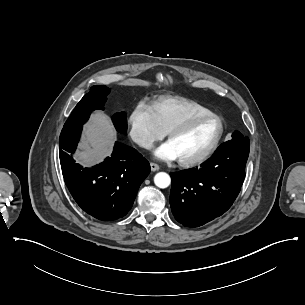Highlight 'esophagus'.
Returning <instances> with one entry per match:
<instances>
[{
    "instance_id": "34e87169",
    "label": "esophagus",
    "mask_w": 305,
    "mask_h": 305,
    "mask_svg": "<svg viewBox=\"0 0 305 305\" xmlns=\"http://www.w3.org/2000/svg\"><path fill=\"white\" fill-rule=\"evenodd\" d=\"M150 166H151V171H158L160 169L159 165L153 162L150 163Z\"/></svg>"
}]
</instances>
